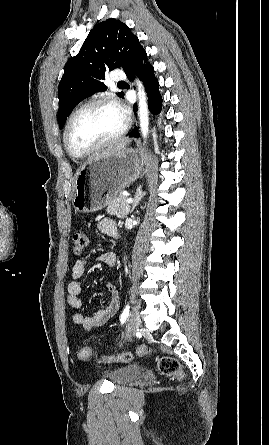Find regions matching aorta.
<instances>
[{"instance_id":"1","label":"aorta","mask_w":269,"mask_h":445,"mask_svg":"<svg viewBox=\"0 0 269 445\" xmlns=\"http://www.w3.org/2000/svg\"><path fill=\"white\" fill-rule=\"evenodd\" d=\"M136 83L138 86V111H139V122H140V130L144 139H147L149 132V113H148V103L147 96L144 90V86L142 83L136 79Z\"/></svg>"}]
</instances>
